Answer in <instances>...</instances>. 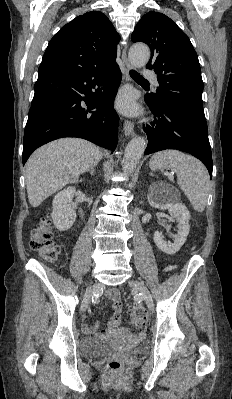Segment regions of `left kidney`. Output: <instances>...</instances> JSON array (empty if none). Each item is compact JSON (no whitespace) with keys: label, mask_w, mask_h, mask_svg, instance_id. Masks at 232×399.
Masks as SVG:
<instances>
[{"label":"left kidney","mask_w":232,"mask_h":399,"mask_svg":"<svg viewBox=\"0 0 232 399\" xmlns=\"http://www.w3.org/2000/svg\"><path fill=\"white\" fill-rule=\"evenodd\" d=\"M156 196H163V190L160 188L159 184H152L151 194H148V201L152 207H161V209H168L172 217H176L177 221V233L173 235V241H167L162 237L160 231H155L153 239L162 251L165 253H176L179 251L181 245L186 241V237L189 233L190 225V213L184 205V203H169V201H157Z\"/></svg>","instance_id":"1"}]
</instances>
